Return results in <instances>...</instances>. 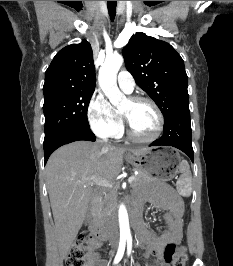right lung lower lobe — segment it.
<instances>
[{"label": "right lung lower lobe", "mask_w": 233, "mask_h": 266, "mask_svg": "<svg viewBox=\"0 0 233 266\" xmlns=\"http://www.w3.org/2000/svg\"><path fill=\"white\" fill-rule=\"evenodd\" d=\"M78 140L95 141V135L90 127L73 128L60 132L59 134L44 140L45 163L53 151L64 144Z\"/></svg>", "instance_id": "98d812e1"}]
</instances>
